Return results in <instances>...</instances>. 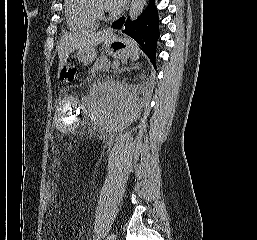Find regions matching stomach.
I'll use <instances>...</instances> for the list:
<instances>
[{
	"label": "stomach",
	"mask_w": 257,
	"mask_h": 240,
	"mask_svg": "<svg viewBox=\"0 0 257 240\" xmlns=\"http://www.w3.org/2000/svg\"><path fill=\"white\" fill-rule=\"evenodd\" d=\"M104 46L109 54L117 58H124L131 54V42L127 39L118 37L111 30L105 39ZM95 58L96 50L94 47L79 49L77 52V59L83 63V65L90 64Z\"/></svg>",
	"instance_id": "stomach-1"
}]
</instances>
